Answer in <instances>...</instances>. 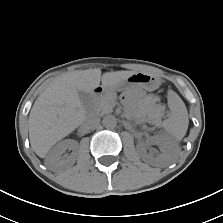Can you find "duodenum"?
I'll use <instances>...</instances> for the list:
<instances>
[{"label":"duodenum","mask_w":223,"mask_h":223,"mask_svg":"<svg viewBox=\"0 0 223 223\" xmlns=\"http://www.w3.org/2000/svg\"><path fill=\"white\" fill-rule=\"evenodd\" d=\"M103 92H104V88L102 86H96L93 90V93L95 96H99L103 94Z\"/></svg>","instance_id":"1"}]
</instances>
